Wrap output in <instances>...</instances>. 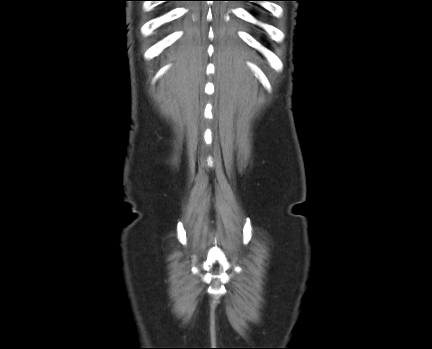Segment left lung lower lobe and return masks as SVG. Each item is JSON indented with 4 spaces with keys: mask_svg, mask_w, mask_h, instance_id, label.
<instances>
[{
    "mask_svg": "<svg viewBox=\"0 0 432 349\" xmlns=\"http://www.w3.org/2000/svg\"><path fill=\"white\" fill-rule=\"evenodd\" d=\"M253 1H263V0H253Z\"/></svg>",
    "mask_w": 432,
    "mask_h": 349,
    "instance_id": "left-lung-lower-lobe-1",
    "label": "left lung lower lobe"
}]
</instances>
